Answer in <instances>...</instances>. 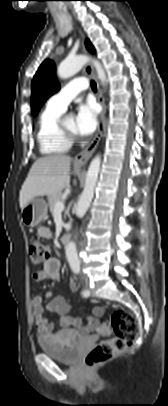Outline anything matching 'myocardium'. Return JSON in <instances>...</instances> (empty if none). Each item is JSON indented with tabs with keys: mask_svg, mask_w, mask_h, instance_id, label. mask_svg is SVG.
Wrapping results in <instances>:
<instances>
[{
	"mask_svg": "<svg viewBox=\"0 0 168 406\" xmlns=\"http://www.w3.org/2000/svg\"><path fill=\"white\" fill-rule=\"evenodd\" d=\"M59 127L61 132L69 139V140H73L76 136L75 132L69 131L64 127L63 123H59Z\"/></svg>",
	"mask_w": 168,
	"mask_h": 406,
	"instance_id": "1",
	"label": "myocardium"
}]
</instances>
